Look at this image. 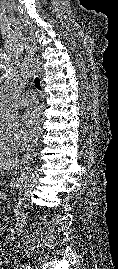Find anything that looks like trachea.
<instances>
[{"label":"trachea","mask_w":118,"mask_h":269,"mask_svg":"<svg viewBox=\"0 0 118 269\" xmlns=\"http://www.w3.org/2000/svg\"><path fill=\"white\" fill-rule=\"evenodd\" d=\"M34 84H35V87L37 89L41 90V83H40V79L38 77H35Z\"/></svg>","instance_id":"3493384b"}]
</instances>
